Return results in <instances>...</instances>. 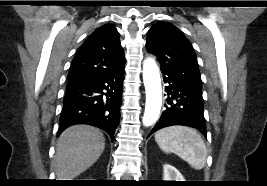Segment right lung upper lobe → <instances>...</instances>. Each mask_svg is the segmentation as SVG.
<instances>
[{"label":"right lung upper lobe","mask_w":267,"mask_h":186,"mask_svg":"<svg viewBox=\"0 0 267 186\" xmlns=\"http://www.w3.org/2000/svg\"><path fill=\"white\" fill-rule=\"evenodd\" d=\"M125 64L119 33L111 24L96 29L78 48L68 81L109 71Z\"/></svg>","instance_id":"right-lung-upper-lobe-1"}]
</instances>
